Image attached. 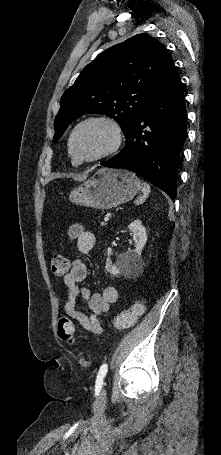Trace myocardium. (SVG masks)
<instances>
[{
	"mask_svg": "<svg viewBox=\"0 0 221 455\" xmlns=\"http://www.w3.org/2000/svg\"><path fill=\"white\" fill-rule=\"evenodd\" d=\"M89 124H98L106 127L111 135V144L103 152L88 158L79 157L74 149V143L78 132ZM123 140V132L120 124L112 117L107 115H93L79 121L73 128L69 137V153L73 160L77 163H91L102 160L115 153L121 146Z\"/></svg>",
	"mask_w": 221,
	"mask_h": 455,
	"instance_id": "obj_1",
	"label": "myocardium"
}]
</instances>
